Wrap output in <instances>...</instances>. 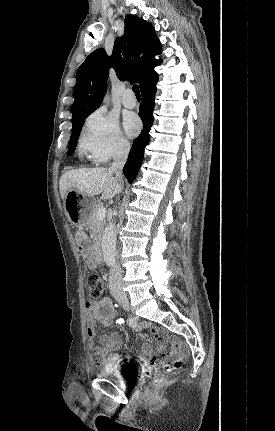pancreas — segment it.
<instances>
[{
  "instance_id": "1",
  "label": "pancreas",
  "mask_w": 275,
  "mask_h": 431,
  "mask_svg": "<svg viewBox=\"0 0 275 431\" xmlns=\"http://www.w3.org/2000/svg\"><path fill=\"white\" fill-rule=\"evenodd\" d=\"M101 207H102V204L99 202L98 204H96L91 209L87 223H86L87 228L91 232V237L93 238V242H94L95 247L99 246V244L101 242V235H102L104 225H105L104 219L100 220L96 217V212Z\"/></svg>"
}]
</instances>
